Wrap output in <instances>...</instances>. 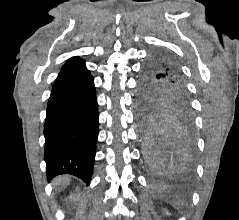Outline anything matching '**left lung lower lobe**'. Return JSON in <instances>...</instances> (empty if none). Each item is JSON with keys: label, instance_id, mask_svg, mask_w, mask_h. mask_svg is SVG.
<instances>
[{"label": "left lung lower lobe", "instance_id": "left-lung-lower-lobe-1", "mask_svg": "<svg viewBox=\"0 0 239 220\" xmlns=\"http://www.w3.org/2000/svg\"><path fill=\"white\" fill-rule=\"evenodd\" d=\"M145 129V154L153 166L179 165L190 160L194 144L190 112L172 111Z\"/></svg>", "mask_w": 239, "mask_h": 220}]
</instances>
